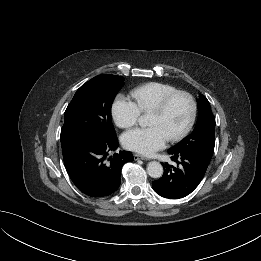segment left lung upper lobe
<instances>
[{
  "label": "left lung upper lobe",
  "mask_w": 261,
  "mask_h": 261,
  "mask_svg": "<svg viewBox=\"0 0 261 261\" xmlns=\"http://www.w3.org/2000/svg\"><path fill=\"white\" fill-rule=\"evenodd\" d=\"M197 104L198 119L193 132L169 150L187 151L209 163L215 146V119L205 96L200 95Z\"/></svg>",
  "instance_id": "left-lung-upper-lobe-1"
}]
</instances>
